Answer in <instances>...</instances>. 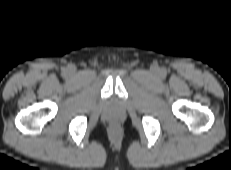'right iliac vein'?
Returning <instances> with one entry per match:
<instances>
[{
    "label": "right iliac vein",
    "mask_w": 231,
    "mask_h": 170,
    "mask_svg": "<svg viewBox=\"0 0 231 170\" xmlns=\"http://www.w3.org/2000/svg\"><path fill=\"white\" fill-rule=\"evenodd\" d=\"M68 72H69L70 74H73V73L75 72V67H74V66L68 67Z\"/></svg>",
    "instance_id": "63e3f726"
}]
</instances>
